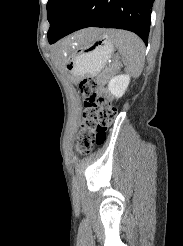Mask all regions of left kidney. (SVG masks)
Listing matches in <instances>:
<instances>
[{"mask_svg":"<svg viewBox=\"0 0 183 246\" xmlns=\"http://www.w3.org/2000/svg\"><path fill=\"white\" fill-rule=\"evenodd\" d=\"M129 83H130L129 75L114 76L110 79L108 83V91L113 97L120 98L125 93Z\"/></svg>","mask_w":183,"mask_h":246,"instance_id":"1","label":"left kidney"}]
</instances>
